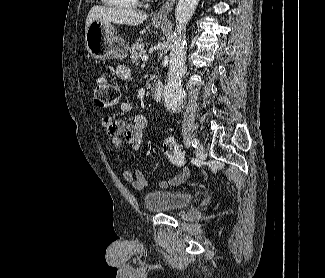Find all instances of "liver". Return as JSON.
<instances>
[{
	"mask_svg": "<svg viewBox=\"0 0 325 278\" xmlns=\"http://www.w3.org/2000/svg\"><path fill=\"white\" fill-rule=\"evenodd\" d=\"M147 17L148 15L146 13L138 10L96 5L93 6L88 13L85 23V31L94 20L124 24L128 26H138L143 23Z\"/></svg>",
	"mask_w": 325,
	"mask_h": 278,
	"instance_id": "6515ba94",
	"label": "liver"
}]
</instances>
